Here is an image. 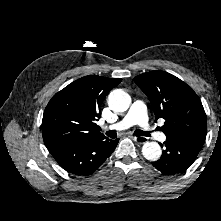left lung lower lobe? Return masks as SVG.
<instances>
[{"label": "left lung lower lobe", "mask_w": 221, "mask_h": 221, "mask_svg": "<svg viewBox=\"0 0 221 221\" xmlns=\"http://www.w3.org/2000/svg\"><path fill=\"white\" fill-rule=\"evenodd\" d=\"M206 134H194L187 137L167 138L164 150L153 166L165 175H175L186 171L195 161L203 147Z\"/></svg>", "instance_id": "left-lung-lower-lobe-1"}]
</instances>
